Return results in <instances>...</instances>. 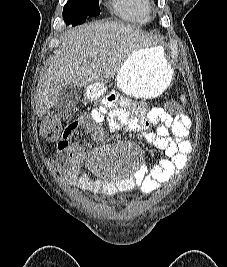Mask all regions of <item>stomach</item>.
I'll use <instances>...</instances> for the list:
<instances>
[{
	"mask_svg": "<svg viewBox=\"0 0 227 267\" xmlns=\"http://www.w3.org/2000/svg\"><path fill=\"white\" fill-rule=\"evenodd\" d=\"M173 70L161 47H145L133 52L116 75L120 91L134 98H153L170 84ZM104 85H88L87 98L96 100L104 92Z\"/></svg>",
	"mask_w": 227,
	"mask_h": 267,
	"instance_id": "0dacf381",
	"label": "stomach"
}]
</instances>
